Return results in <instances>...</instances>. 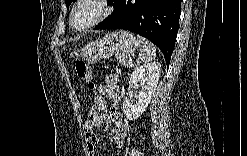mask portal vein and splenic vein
Segmentation results:
<instances>
[{
	"mask_svg": "<svg viewBox=\"0 0 247 156\" xmlns=\"http://www.w3.org/2000/svg\"><path fill=\"white\" fill-rule=\"evenodd\" d=\"M128 62H129L130 65H132V59H130Z\"/></svg>",
	"mask_w": 247,
	"mask_h": 156,
	"instance_id": "1",
	"label": "portal vein and splenic vein"
}]
</instances>
